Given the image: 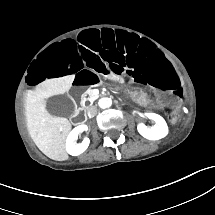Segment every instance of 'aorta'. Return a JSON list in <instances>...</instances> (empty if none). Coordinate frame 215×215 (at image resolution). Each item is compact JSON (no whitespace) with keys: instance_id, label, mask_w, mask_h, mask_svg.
I'll return each mask as SVG.
<instances>
[{"instance_id":"1","label":"aorta","mask_w":215,"mask_h":215,"mask_svg":"<svg viewBox=\"0 0 215 215\" xmlns=\"http://www.w3.org/2000/svg\"><path fill=\"white\" fill-rule=\"evenodd\" d=\"M99 106L101 108H110L112 106V99L109 97H103L99 100Z\"/></svg>"}]
</instances>
